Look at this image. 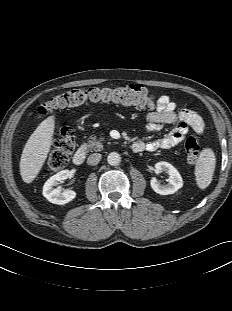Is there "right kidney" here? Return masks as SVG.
Masks as SVG:
<instances>
[{"label": "right kidney", "mask_w": 232, "mask_h": 311, "mask_svg": "<svg viewBox=\"0 0 232 311\" xmlns=\"http://www.w3.org/2000/svg\"><path fill=\"white\" fill-rule=\"evenodd\" d=\"M70 177L69 170H63L50 177L43 186V196L51 203L63 205L72 201L76 197V192L72 190H61L53 188L59 182Z\"/></svg>", "instance_id": "obj_1"}]
</instances>
